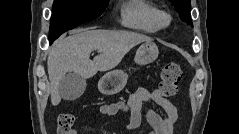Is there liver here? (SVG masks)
<instances>
[{"label": "liver", "instance_id": "obj_1", "mask_svg": "<svg viewBox=\"0 0 239 134\" xmlns=\"http://www.w3.org/2000/svg\"><path fill=\"white\" fill-rule=\"evenodd\" d=\"M146 41L151 38L140 33L110 30H80L59 40L47 60L52 105L61 102L59 84L66 73L91 78L98 71L115 68L134 46ZM94 50L99 54L90 60Z\"/></svg>", "mask_w": 239, "mask_h": 134}]
</instances>
